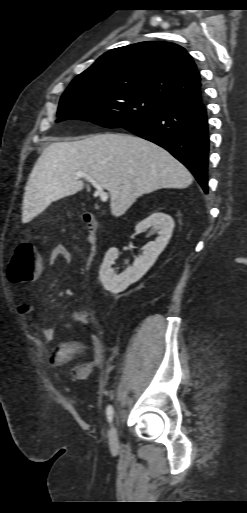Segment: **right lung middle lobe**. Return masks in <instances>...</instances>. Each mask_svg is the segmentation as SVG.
<instances>
[{
  "label": "right lung middle lobe",
  "instance_id": "dd1d6c3e",
  "mask_svg": "<svg viewBox=\"0 0 247 513\" xmlns=\"http://www.w3.org/2000/svg\"><path fill=\"white\" fill-rule=\"evenodd\" d=\"M169 107L165 102L123 88L84 86L71 82L57 112L59 120L91 121L107 128H124Z\"/></svg>",
  "mask_w": 247,
  "mask_h": 513
}]
</instances>
